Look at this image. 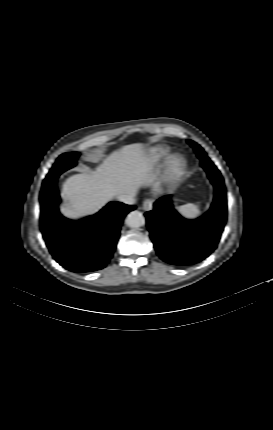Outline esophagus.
Here are the masks:
<instances>
[{
	"mask_svg": "<svg viewBox=\"0 0 273 430\" xmlns=\"http://www.w3.org/2000/svg\"><path fill=\"white\" fill-rule=\"evenodd\" d=\"M153 202H154V200L151 198L144 200V202L142 203V207H141L142 210H144V211L152 210Z\"/></svg>",
	"mask_w": 273,
	"mask_h": 430,
	"instance_id": "obj_1",
	"label": "esophagus"
}]
</instances>
